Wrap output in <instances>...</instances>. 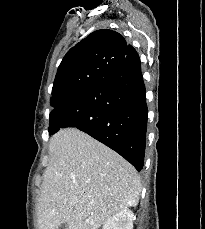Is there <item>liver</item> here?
I'll use <instances>...</instances> for the list:
<instances>
[{"mask_svg":"<svg viewBox=\"0 0 205 229\" xmlns=\"http://www.w3.org/2000/svg\"><path fill=\"white\" fill-rule=\"evenodd\" d=\"M141 182L123 157L86 133L67 128L49 144L38 205L39 229H98L138 204Z\"/></svg>","mask_w":205,"mask_h":229,"instance_id":"1","label":"liver"}]
</instances>
